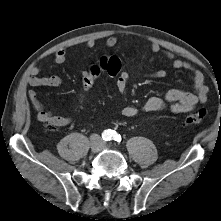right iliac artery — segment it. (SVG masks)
I'll return each instance as SVG.
<instances>
[{"mask_svg":"<svg viewBox=\"0 0 221 221\" xmlns=\"http://www.w3.org/2000/svg\"><path fill=\"white\" fill-rule=\"evenodd\" d=\"M103 139L104 140H110V137H111V132L108 130V131H104L103 135H102Z\"/></svg>","mask_w":221,"mask_h":221,"instance_id":"1","label":"right iliac artery"}]
</instances>
